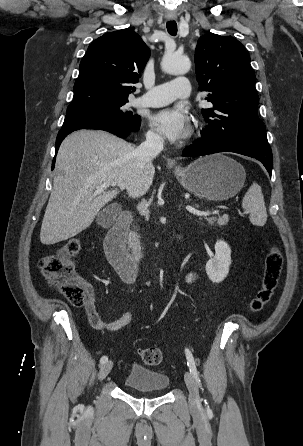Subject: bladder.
<instances>
[{
  "mask_svg": "<svg viewBox=\"0 0 303 446\" xmlns=\"http://www.w3.org/2000/svg\"><path fill=\"white\" fill-rule=\"evenodd\" d=\"M123 384L131 391L163 393L169 388L170 379L163 372L136 365L129 370Z\"/></svg>",
  "mask_w": 303,
  "mask_h": 446,
  "instance_id": "bladder-1",
  "label": "bladder"
}]
</instances>
